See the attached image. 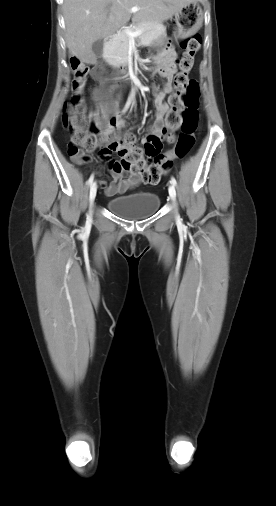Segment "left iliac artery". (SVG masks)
Returning <instances> with one entry per match:
<instances>
[{
  "label": "left iliac artery",
  "instance_id": "obj_1",
  "mask_svg": "<svg viewBox=\"0 0 276 506\" xmlns=\"http://www.w3.org/2000/svg\"><path fill=\"white\" fill-rule=\"evenodd\" d=\"M171 184H173L174 186L177 185V182H176V179L174 177H171Z\"/></svg>",
  "mask_w": 276,
  "mask_h": 506
}]
</instances>
